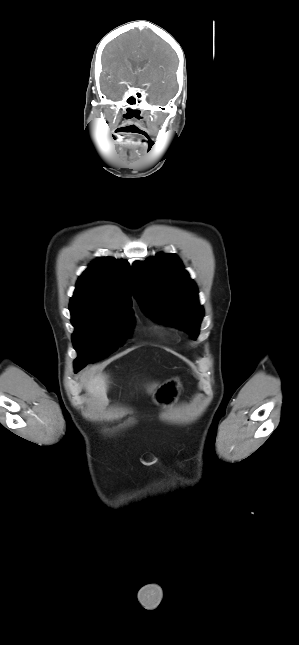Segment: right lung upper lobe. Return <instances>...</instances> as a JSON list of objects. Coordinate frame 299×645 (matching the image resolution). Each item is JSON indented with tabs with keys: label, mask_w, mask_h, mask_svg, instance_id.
I'll list each match as a JSON object with an SVG mask.
<instances>
[{
	"label": "right lung upper lobe",
	"mask_w": 299,
	"mask_h": 645,
	"mask_svg": "<svg viewBox=\"0 0 299 645\" xmlns=\"http://www.w3.org/2000/svg\"><path fill=\"white\" fill-rule=\"evenodd\" d=\"M129 269L124 260L97 258L79 277L70 307L131 311Z\"/></svg>",
	"instance_id": "1"
}]
</instances>
